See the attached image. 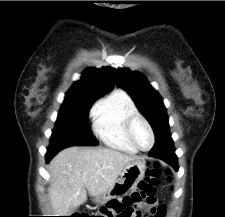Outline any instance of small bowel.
Masks as SVG:
<instances>
[{
  "mask_svg": "<svg viewBox=\"0 0 225 217\" xmlns=\"http://www.w3.org/2000/svg\"><path fill=\"white\" fill-rule=\"evenodd\" d=\"M155 199L146 200L145 203H137L131 207L123 208L118 217H136L137 213H141L144 217H153L152 211L156 209ZM142 208L146 210V214L142 212ZM164 217V214H163Z\"/></svg>",
  "mask_w": 225,
  "mask_h": 217,
  "instance_id": "obj_1",
  "label": "small bowel"
}]
</instances>
